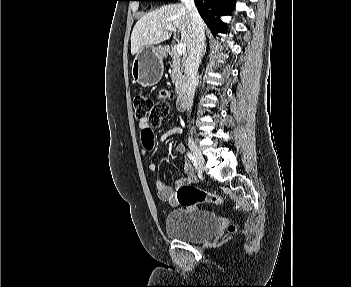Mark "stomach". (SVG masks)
Masks as SVG:
<instances>
[{"mask_svg": "<svg viewBox=\"0 0 351 287\" xmlns=\"http://www.w3.org/2000/svg\"><path fill=\"white\" fill-rule=\"evenodd\" d=\"M164 50L152 45L143 46L132 62V77L144 87L156 85L162 78Z\"/></svg>", "mask_w": 351, "mask_h": 287, "instance_id": "stomach-1", "label": "stomach"}]
</instances>
